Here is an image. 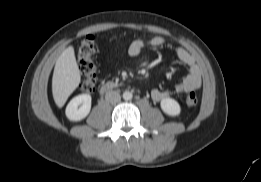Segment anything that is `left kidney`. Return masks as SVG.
Wrapping results in <instances>:
<instances>
[{
	"mask_svg": "<svg viewBox=\"0 0 261 182\" xmlns=\"http://www.w3.org/2000/svg\"><path fill=\"white\" fill-rule=\"evenodd\" d=\"M162 111L172 117L178 116L181 112L179 103L172 98H164L160 103Z\"/></svg>",
	"mask_w": 261,
	"mask_h": 182,
	"instance_id": "left-kidney-1",
	"label": "left kidney"
}]
</instances>
